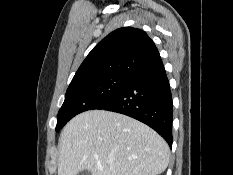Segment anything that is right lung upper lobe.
Here are the masks:
<instances>
[{
	"label": "right lung upper lobe",
	"instance_id": "cb5924a9",
	"mask_svg": "<svg viewBox=\"0 0 233 175\" xmlns=\"http://www.w3.org/2000/svg\"><path fill=\"white\" fill-rule=\"evenodd\" d=\"M159 61V52L144 31L123 27L111 32L92 49L71 83L106 74L133 77Z\"/></svg>",
	"mask_w": 233,
	"mask_h": 175
}]
</instances>
